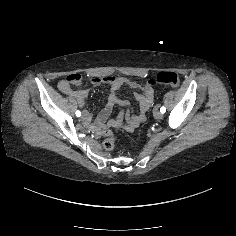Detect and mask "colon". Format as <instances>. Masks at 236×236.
<instances>
[{"mask_svg":"<svg viewBox=\"0 0 236 236\" xmlns=\"http://www.w3.org/2000/svg\"><path fill=\"white\" fill-rule=\"evenodd\" d=\"M70 86H77L82 83V77L79 74H72L66 78ZM156 81L160 84L177 87L180 84L178 75L172 71H162L157 74ZM103 147L106 150H111L114 147V137L109 130L103 132Z\"/></svg>","mask_w":236,"mask_h":236,"instance_id":"colon-1","label":"colon"}]
</instances>
